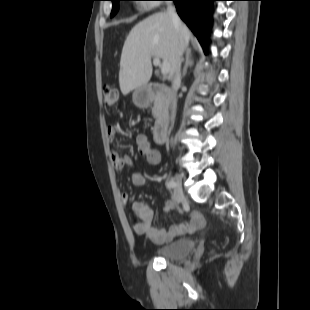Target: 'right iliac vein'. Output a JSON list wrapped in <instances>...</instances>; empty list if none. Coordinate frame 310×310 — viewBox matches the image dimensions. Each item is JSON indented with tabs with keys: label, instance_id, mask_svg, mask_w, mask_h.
Wrapping results in <instances>:
<instances>
[{
	"label": "right iliac vein",
	"instance_id": "right-iliac-vein-1",
	"mask_svg": "<svg viewBox=\"0 0 310 310\" xmlns=\"http://www.w3.org/2000/svg\"><path fill=\"white\" fill-rule=\"evenodd\" d=\"M173 180L176 183V186L174 187V199L177 204L183 202L185 200V196L182 190V184H181V179L178 174L175 175Z\"/></svg>",
	"mask_w": 310,
	"mask_h": 310
}]
</instances>
